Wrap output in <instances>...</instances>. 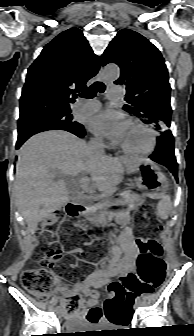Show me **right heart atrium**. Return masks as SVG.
Segmentation results:
<instances>
[{"label": "right heart atrium", "instance_id": "1", "mask_svg": "<svg viewBox=\"0 0 194 336\" xmlns=\"http://www.w3.org/2000/svg\"><path fill=\"white\" fill-rule=\"evenodd\" d=\"M92 141L93 143L98 144V145H101L103 143V141L98 137H94Z\"/></svg>", "mask_w": 194, "mask_h": 336}]
</instances>
